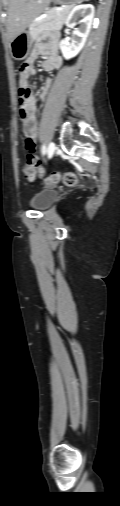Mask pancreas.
I'll return each mask as SVG.
<instances>
[{
	"instance_id": "pancreas-1",
	"label": "pancreas",
	"mask_w": 120,
	"mask_h": 506,
	"mask_svg": "<svg viewBox=\"0 0 120 506\" xmlns=\"http://www.w3.org/2000/svg\"><path fill=\"white\" fill-rule=\"evenodd\" d=\"M69 7L58 10L52 8L47 11L45 18L40 21H34L29 26V32L33 38H36L40 33L44 31H58L62 28L68 13L70 12Z\"/></svg>"
}]
</instances>
